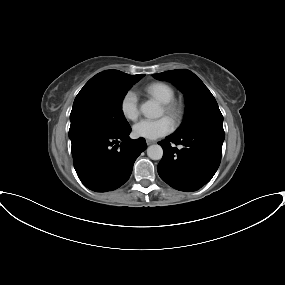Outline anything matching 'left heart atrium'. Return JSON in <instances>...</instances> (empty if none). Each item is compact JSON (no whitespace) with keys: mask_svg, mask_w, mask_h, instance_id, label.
<instances>
[{"mask_svg":"<svg viewBox=\"0 0 285 285\" xmlns=\"http://www.w3.org/2000/svg\"><path fill=\"white\" fill-rule=\"evenodd\" d=\"M174 130V122L168 116L159 119H143L136 123L133 132L136 137L145 139H157Z\"/></svg>","mask_w":285,"mask_h":285,"instance_id":"39dd6f15","label":"left heart atrium"}]
</instances>
